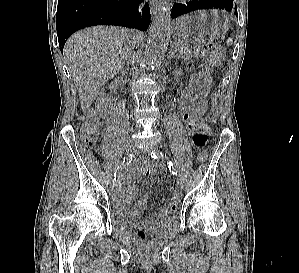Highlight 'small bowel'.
<instances>
[{"label": "small bowel", "instance_id": "1", "mask_svg": "<svg viewBox=\"0 0 299 273\" xmlns=\"http://www.w3.org/2000/svg\"><path fill=\"white\" fill-rule=\"evenodd\" d=\"M192 106L193 98L187 93L180 101V114L186 123L188 131L190 132L193 145L196 148H203L208 138V127L204 123L195 124L190 120ZM156 169L157 165L148 161H138L128 169L120 183V188L116 193L117 204L122 211H128V206L138 190L137 186L131 185L130 182L140 177H149L156 171ZM159 180L163 181L164 176H160ZM147 201V195L139 199L134 205L131 214L136 218H139L146 207ZM175 211L176 207L169 203L164 207L161 218L163 220L168 219L172 217ZM153 220L154 218L151 217L150 221Z\"/></svg>", "mask_w": 299, "mask_h": 273}]
</instances>
